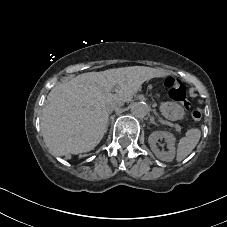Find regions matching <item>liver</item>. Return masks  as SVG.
<instances>
[{"label":"liver","mask_w":227,"mask_h":227,"mask_svg":"<svg viewBox=\"0 0 227 227\" xmlns=\"http://www.w3.org/2000/svg\"><path fill=\"white\" fill-rule=\"evenodd\" d=\"M157 69L132 66L88 72L55 86L42 109L41 130L54 156L79 154L93 150L107 130V104L110 91L130 97L143 82L153 78Z\"/></svg>","instance_id":"obj_1"}]
</instances>
